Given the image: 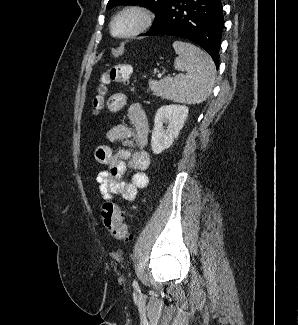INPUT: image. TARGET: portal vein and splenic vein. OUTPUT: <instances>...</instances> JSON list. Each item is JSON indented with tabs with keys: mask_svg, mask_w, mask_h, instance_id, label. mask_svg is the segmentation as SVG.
I'll return each mask as SVG.
<instances>
[{
	"mask_svg": "<svg viewBox=\"0 0 298 325\" xmlns=\"http://www.w3.org/2000/svg\"><path fill=\"white\" fill-rule=\"evenodd\" d=\"M158 78H160V76H162V74H157Z\"/></svg>",
	"mask_w": 298,
	"mask_h": 325,
	"instance_id": "obj_1",
	"label": "portal vein and splenic vein"
}]
</instances>
